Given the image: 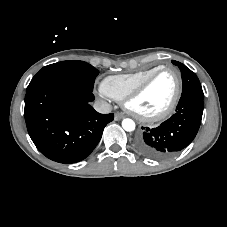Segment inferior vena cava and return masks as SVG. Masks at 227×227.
<instances>
[{"label": "inferior vena cava", "instance_id": "1", "mask_svg": "<svg viewBox=\"0 0 227 227\" xmlns=\"http://www.w3.org/2000/svg\"><path fill=\"white\" fill-rule=\"evenodd\" d=\"M93 107L97 112L102 114H108L112 110V106L103 100L95 101Z\"/></svg>", "mask_w": 227, "mask_h": 227}]
</instances>
